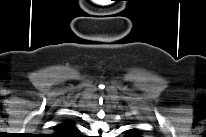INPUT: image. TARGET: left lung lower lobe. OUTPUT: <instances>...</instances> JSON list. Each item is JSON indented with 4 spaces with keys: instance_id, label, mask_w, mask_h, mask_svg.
<instances>
[{
    "instance_id": "1",
    "label": "left lung lower lobe",
    "mask_w": 206,
    "mask_h": 137,
    "mask_svg": "<svg viewBox=\"0 0 206 137\" xmlns=\"http://www.w3.org/2000/svg\"><path fill=\"white\" fill-rule=\"evenodd\" d=\"M137 134V130L136 129H131L128 131V136L133 137Z\"/></svg>"
}]
</instances>
